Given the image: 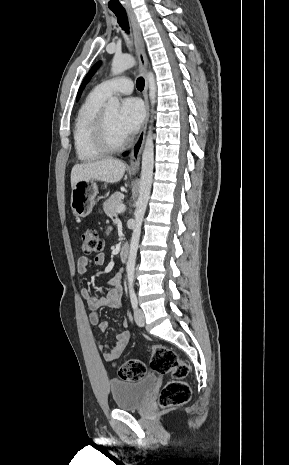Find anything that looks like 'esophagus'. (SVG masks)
I'll list each match as a JSON object with an SVG mask.
<instances>
[{"label":"esophagus","mask_w":289,"mask_h":465,"mask_svg":"<svg viewBox=\"0 0 289 465\" xmlns=\"http://www.w3.org/2000/svg\"><path fill=\"white\" fill-rule=\"evenodd\" d=\"M132 29H133V35H134V40H135V46L137 50V56L140 62V67L143 71L144 78H145V86H144V91H143V96H144V101H145V110H146V116L144 119V122L142 124V128L140 130V133L132 147L131 150V157H130V165L129 169L132 171H138L139 166H140V154L144 145L145 141V135H146V129H147V123L149 119V102H148V81L146 77V70L148 66V59L147 55L145 52V44L142 38L141 34V29L139 26V23L137 21L136 15L133 12L131 8L127 9Z\"/></svg>","instance_id":"34e87169"}]
</instances>
